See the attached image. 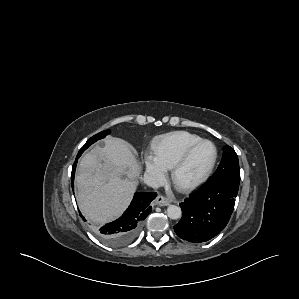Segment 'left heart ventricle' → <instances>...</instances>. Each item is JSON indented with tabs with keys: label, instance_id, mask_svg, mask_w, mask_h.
I'll use <instances>...</instances> for the list:
<instances>
[{
	"label": "left heart ventricle",
	"instance_id": "left-heart-ventricle-1",
	"mask_svg": "<svg viewBox=\"0 0 299 299\" xmlns=\"http://www.w3.org/2000/svg\"><path fill=\"white\" fill-rule=\"evenodd\" d=\"M214 149L210 144H203L192 155L188 164L180 173L181 182H190L200 177L210 166Z\"/></svg>",
	"mask_w": 299,
	"mask_h": 299
}]
</instances>
